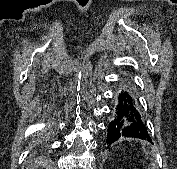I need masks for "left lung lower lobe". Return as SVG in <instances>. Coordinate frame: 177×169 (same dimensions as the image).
<instances>
[{"instance_id":"1","label":"left lung lower lobe","mask_w":177,"mask_h":169,"mask_svg":"<svg viewBox=\"0 0 177 169\" xmlns=\"http://www.w3.org/2000/svg\"><path fill=\"white\" fill-rule=\"evenodd\" d=\"M122 136L151 141L133 93L128 87H123L118 95V103L114 119L108 127L106 143L110 145Z\"/></svg>"}]
</instances>
